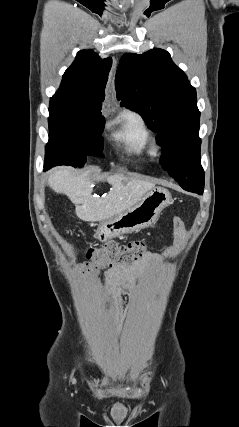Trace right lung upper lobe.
<instances>
[{
	"mask_svg": "<svg viewBox=\"0 0 239 427\" xmlns=\"http://www.w3.org/2000/svg\"><path fill=\"white\" fill-rule=\"evenodd\" d=\"M111 66V58L102 60L92 50L78 52L63 75L59 91L50 99V105L101 112Z\"/></svg>",
	"mask_w": 239,
	"mask_h": 427,
	"instance_id": "right-lung-upper-lobe-1",
	"label": "right lung upper lobe"
}]
</instances>
